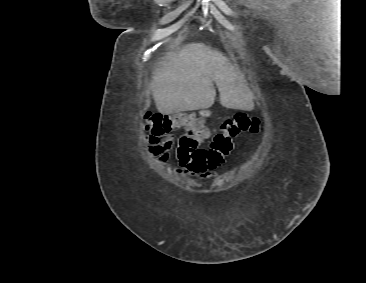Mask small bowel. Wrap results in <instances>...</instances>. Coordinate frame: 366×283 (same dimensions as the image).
Wrapping results in <instances>:
<instances>
[{"label": "small bowel", "mask_w": 366, "mask_h": 283, "mask_svg": "<svg viewBox=\"0 0 366 283\" xmlns=\"http://www.w3.org/2000/svg\"><path fill=\"white\" fill-rule=\"evenodd\" d=\"M145 141L148 144L147 147V153L158 157L159 162L165 163L169 159V151L173 147V136L170 134H164V135H150L145 137ZM219 154L217 157H222V160L218 165H216L213 168L204 170L202 172H193L185 167H180L177 169V172L179 174L183 175H190L193 177H199L201 179H208L215 177L217 173L215 172V169L222 165L225 162L226 157L232 152L228 153V155H223L221 151H218Z\"/></svg>", "instance_id": "c3829d8e"}]
</instances>
